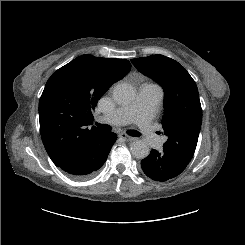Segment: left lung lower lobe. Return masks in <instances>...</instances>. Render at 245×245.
Returning <instances> with one entry per match:
<instances>
[{
	"label": "left lung lower lobe",
	"instance_id": "1",
	"mask_svg": "<svg viewBox=\"0 0 245 245\" xmlns=\"http://www.w3.org/2000/svg\"><path fill=\"white\" fill-rule=\"evenodd\" d=\"M189 162L177 152L163 146L162 151L152 150L141 161V167L149 178L155 181H167L182 173Z\"/></svg>",
	"mask_w": 245,
	"mask_h": 245
}]
</instances>
